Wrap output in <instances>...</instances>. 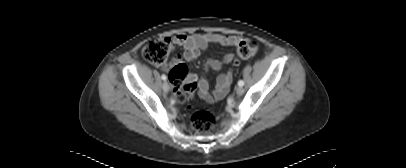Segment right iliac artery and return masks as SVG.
Instances as JSON below:
<instances>
[{
  "label": "right iliac artery",
  "mask_w": 406,
  "mask_h": 168,
  "mask_svg": "<svg viewBox=\"0 0 406 168\" xmlns=\"http://www.w3.org/2000/svg\"><path fill=\"white\" fill-rule=\"evenodd\" d=\"M161 78H162L163 80H166V79H167L166 75H164V74L161 76Z\"/></svg>",
  "instance_id": "1"
}]
</instances>
